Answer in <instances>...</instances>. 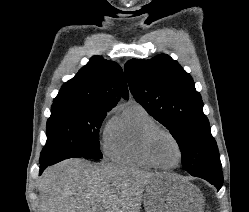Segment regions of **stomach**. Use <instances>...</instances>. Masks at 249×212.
<instances>
[{
    "label": "stomach",
    "instance_id": "obj_1",
    "mask_svg": "<svg viewBox=\"0 0 249 212\" xmlns=\"http://www.w3.org/2000/svg\"><path fill=\"white\" fill-rule=\"evenodd\" d=\"M146 212H202L204 196L180 175H153L144 194Z\"/></svg>",
    "mask_w": 249,
    "mask_h": 212
}]
</instances>
